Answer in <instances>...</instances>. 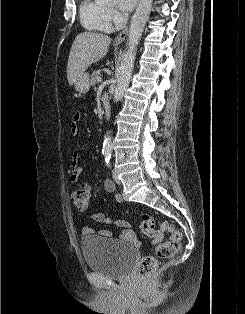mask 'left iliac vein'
Wrapping results in <instances>:
<instances>
[{"label":"left iliac vein","mask_w":245,"mask_h":314,"mask_svg":"<svg viewBox=\"0 0 245 314\" xmlns=\"http://www.w3.org/2000/svg\"><path fill=\"white\" fill-rule=\"evenodd\" d=\"M113 179L117 184H121L120 179L118 178V175L116 173V171H113Z\"/></svg>","instance_id":"1"}]
</instances>
